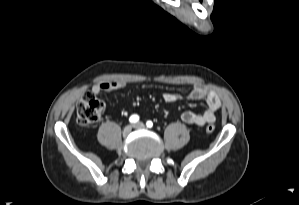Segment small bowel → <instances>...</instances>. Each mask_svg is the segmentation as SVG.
<instances>
[{"label":"small bowel","instance_id":"obj_1","mask_svg":"<svg viewBox=\"0 0 299 205\" xmlns=\"http://www.w3.org/2000/svg\"><path fill=\"white\" fill-rule=\"evenodd\" d=\"M124 83L120 81H104L95 84L91 92L98 95L101 92H110L124 87ZM191 100H204L206 109L202 113L193 111H185L181 118L183 122L189 125L204 126L208 123H213L216 120V114L221 107V101L217 93L207 89L201 84H195L189 93ZM181 99V95L175 92H168L163 95V100L167 103H174Z\"/></svg>","mask_w":299,"mask_h":205}]
</instances>
